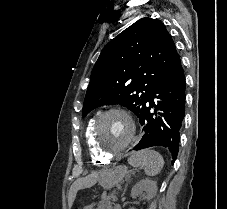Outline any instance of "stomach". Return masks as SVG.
Returning <instances> with one entry per match:
<instances>
[{
	"label": "stomach",
	"instance_id": "obj_1",
	"mask_svg": "<svg viewBox=\"0 0 227 209\" xmlns=\"http://www.w3.org/2000/svg\"><path fill=\"white\" fill-rule=\"evenodd\" d=\"M126 171L127 169L124 166H117L114 169L103 171L99 175V183L105 189H110L114 186H117L121 183Z\"/></svg>",
	"mask_w": 227,
	"mask_h": 209
}]
</instances>
